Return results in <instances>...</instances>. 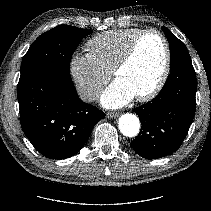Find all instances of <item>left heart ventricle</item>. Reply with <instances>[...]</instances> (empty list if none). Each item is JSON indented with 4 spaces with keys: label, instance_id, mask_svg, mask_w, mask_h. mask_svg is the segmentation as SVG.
Here are the masks:
<instances>
[{
    "label": "left heart ventricle",
    "instance_id": "left-heart-ventricle-1",
    "mask_svg": "<svg viewBox=\"0 0 211 211\" xmlns=\"http://www.w3.org/2000/svg\"><path fill=\"white\" fill-rule=\"evenodd\" d=\"M164 64V47L155 34L145 35L139 42L130 64L116 77L135 96L149 91L157 82Z\"/></svg>",
    "mask_w": 211,
    "mask_h": 211
}]
</instances>
